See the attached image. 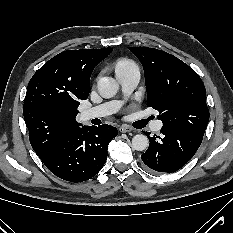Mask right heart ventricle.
I'll use <instances>...</instances> for the list:
<instances>
[{
    "label": "right heart ventricle",
    "mask_w": 233,
    "mask_h": 233,
    "mask_svg": "<svg viewBox=\"0 0 233 233\" xmlns=\"http://www.w3.org/2000/svg\"><path fill=\"white\" fill-rule=\"evenodd\" d=\"M135 63L128 59H120L114 64L115 72L125 70L130 67H135Z\"/></svg>",
    "instance_id": "1"
}]
</instances>
